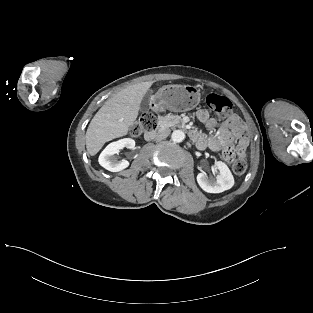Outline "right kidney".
I'll return each instance as SVG.
<instances>
[{"label":"right kidney","instance_id":"ca27d5eb","mask_svg":"<svg viewBox=\"0 0 313 313\" xmlns=\"http://www.w3.org/2000/svg\"><path fill=\"white\" fill-rule=\"evenodd\" d=\"M125 147L133 149L135 147V141L131 138H124L110 143L100 154L98 159L99 164L111 172H118L127 168L129 166V162L127 160L122 159L118 161L114 156Z\"/></svg>","mask_w":313,"mask_h":313}]
</instances>
